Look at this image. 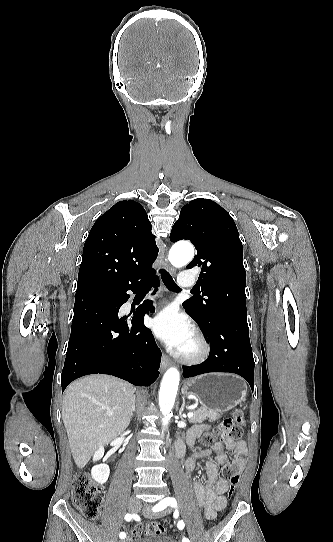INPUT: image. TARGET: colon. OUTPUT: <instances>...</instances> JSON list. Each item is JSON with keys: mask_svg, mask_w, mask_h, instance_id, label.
Wrapping results in <instances>:
<instances>
[{"mask_svg": "<svg viewBox=\"0 0 333 542\" xmlns=\"http://www.w3.org/2000/svg\"><path fill=\"white\" fill-rule=\"evenodd\" d=\"M232 421V422H227ZM244 417L240 411H236L232 416L227 417L222 422H217L213 432L205 433L201 442L204 447L212 446L217 438L227 439L228 442H235L241 439L244 432ZM235 460L231 467L225 468V473L229 478L230 487L224 494L225 499H229L235 487L240 483L241 472L245 466V458L236 453ZM72 502L89 519H95L99 516L100 506L102 504V486L95 477L90 474H78L74 477L72 483ZM142 533L146 536H157L163 533V526L158 522H148L144 525Z\"/></svg>", "mask_w": 333, "mask_h": 542, "instance_id": "obj_1", "label": "colon"}]
</instances>
